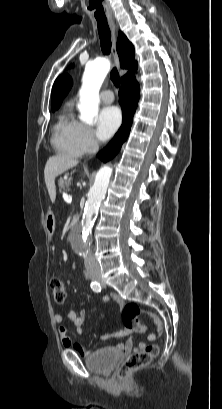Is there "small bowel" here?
<instances>
[{"label":"small bowel","instance_id":"obj_1","mask_svg":"<svg viewBox=\"0 0 222 409\" xmlns=\"http://www.w3.org/2000/svg\"><path fill=\"white\" fill-rule=\"evenodd\" d=\"M113 299L119 306L120 308H123L125 303L124 300L118 296V295H112L110 296H104L102 298V304L106 303L109 301V299ZM68 318L72 322V324L75 326L76 331L79 335L83 334V323L85 319V312L83 310L80 311L78 314L76 311L71 310L68 312ZM54 321L58 325V330L63 338L64 343L67 346L72 347L78 354L82 356H89L90 354H93L100 350L101 348L98 349H92V350H87L85 349L81 344L73 341L67 334V328L63 325V317L60 314H56L54 316ZM126 338V340L121 343L114 345L112 348H115L117 350H121L124 353H128L133 349V341H132V331L128 328H124L118 332L112 333V334H105L102 336V339H109V338ZM155 339V335L151 334L148 336V340L152 341ZM145 345V342L141 341L138 343L136 349L142 348Z\"/></svg>","mask_w":222,"mask_h":409}]
</instances>
